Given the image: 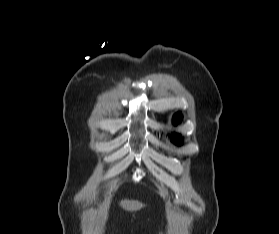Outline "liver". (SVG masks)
Wrapping results in <instances>:
<instances>
[{"mask_svg": "<svg viewBox=\"0 0 279 234\" xmlns=\"http://www.w3.org/2000/svg\"><path fill=\"white\" fill-rule=\"evenodd\" d=\"M120 205L123 207V209H125L127 211H132V212L133 211H138L145 206L141 202L133 201V200L121 201Z\"/></svg>", "mask_w": 279, "mask_h": 234, "instance_id": "1", "label": "liver"}]
</instances>
